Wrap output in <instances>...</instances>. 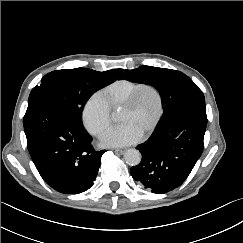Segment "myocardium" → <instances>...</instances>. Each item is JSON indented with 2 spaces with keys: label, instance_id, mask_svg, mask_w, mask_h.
I'll return each instance as SVG.
<instances>
[{
  "label": "myocardium",
  "instance_id": "myocardium-1",
  "mask_svg": "<svg viewBox=\"0 0 243 243\" xmlns=\"http://www.w3.org/2000/svg\"><path fill=\"white\" fill-rule=\"evenodd\" d=\"M146 89H152L157 97H158V113L157 116L153 122V124L148 128V130L143 134V136H149L151 135L156 128L158 127L163 114H164V108H165V102H164V96L161 91V89L153 84V83H142L132 94L131 96L124 102V104L121 107V110H131L134 109L139 101L140 95L142 92Z\"/></svg>",
  "mask_w": 243,
  "mask_h": 243
}]
</instances>
